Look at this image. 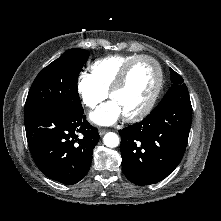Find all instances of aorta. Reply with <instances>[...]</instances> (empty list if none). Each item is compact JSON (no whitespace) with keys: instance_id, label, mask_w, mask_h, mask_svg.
Segmentation results:
<instances>
[{"instance_id":"aorta-1","label":"aorta","mask_w":221,"mask_h":221,"mask_svg":"<svg viewBox=\"0 0 221 221\" xmlns=\"http://www.w3.org/2000/svg\"><path fill=\"white\" fill-rule=\"evenodd\" d=\"M103 142L107 147L114 148L120 143V139L116 133L108 132L103 137Z\"/></svg>"}]
</instances>
